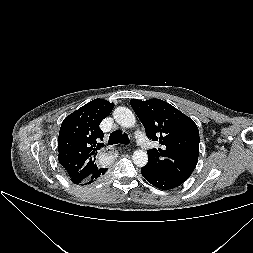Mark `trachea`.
Listing matches in <instances>:
<instances>
[{
  "label": "trachea",
  "instance_id": "trachea-1",
  "mask_svg": "<svg viewBox=\"0 0 253 253\" xmlns=\"http://www.w3.org/2000/svg\"><path fill=\"white\" fill-rule=\"evenodd\" d=\"M129 142L130 140L126 133H122L121 130H116L110 134L108 145H114L118 143L127 145Z\"/></svg>",
  "mask_w": 253,
  "mask_h": 253
}]
</instances>
